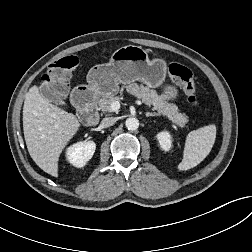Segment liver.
<instances>
[{"label":"liver","mask_w":252,"mask_h":252,"mask_svg":"<svg viewBox=\"0 0 252 252\" xmlns=\"http://www.w3.org/2000/svg\"><path fill=\"white\" fill-rule=\"evenodd\" d=\"M77 117L53 105L36 86L26 94L23 130L28 152L46 173L58 177L59 156L80 128Z\"/></svg>","instance_id":"liver-1"}]
</instances>
